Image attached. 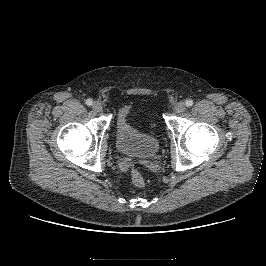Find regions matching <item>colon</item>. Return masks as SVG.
I'll list each match as a JSON object with an SVG mask.
<instances>
[{
	"mask_svg": "<svg viewBox=\"0 0 266 266\" xmlns=\"http://www.w3.org/2000/svg\"><path fill=\"white\" fill-rule=\"evenodd\" d=\"M131 180L132 183L138 188L145 186V178L136 168H132L131 170Z\"/></svg>",
	"mask_w": 266,
	"mask_h": 266,
	"instance_id": "colon-1",
	"label": "colon"
}]
</instances>
